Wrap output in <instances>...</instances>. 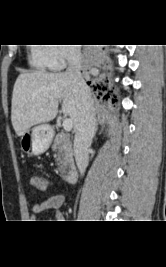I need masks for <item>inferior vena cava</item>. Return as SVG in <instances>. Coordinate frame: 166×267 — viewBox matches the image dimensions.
<instances>
[{
	"label": "inferior vena cava",
	"instance_id": "602c4592",
	"mask_svg": "<svg viewBox=\"0 0 166 267\" xmlns=\"http://www.w3.org/2000/svg\"><path fill=\"white\" fill-rule=\"evenodd\" d=\"M67 61L68 67L65 75L82 95L80 118L75 130L74 154L77 167L81 174H84L89 162L88 149L96 130L95 110L90 89L81 76V51L79 47L70 48Z\"/></svg>",
	"mask_w": 166,
	"mask_h": 267
}]
</instances>
